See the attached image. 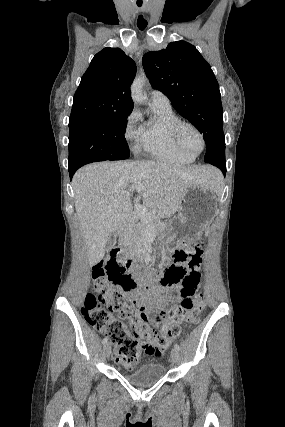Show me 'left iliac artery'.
I'll return each mask as SVG.
<instances>
[{
    "mask_svg": "<svg viewBox=\"0 0 285 427\" xmlns=\"http://www.w3.org/2000/svg\"><path fill=\"white\" fill-rule=\"evenodd\" d=\"M174 348H175L177 351H179V350H180V346H179L178 344H175V345H174Z\"/></svg>",
    "mask_w": 285,
    "mask_h": 427,
    "instance_id": "1",
    "label": "left iliac artery"
}]
</instances>
